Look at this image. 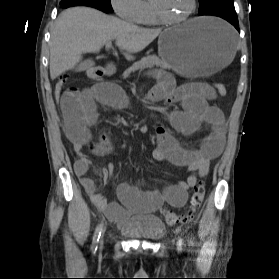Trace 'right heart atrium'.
I'll return each mask as SVG.
<instances>
[{"label":"right heart atrium","instance_id":"obj_1","mask_svg":"<svg viewBox=\"0 0 279 279\" xmlns=\"http://www.w3.org/2000/svg\"><path fill=\"white\" fill-rule=\"evenodd\" d=\"M110 4L115 13L128 22H137L143 10V0H110Z\"/></svg>","mask_w":279,"mask_h":279}]
</instances>
